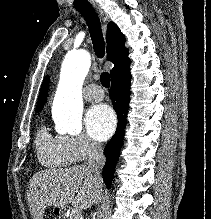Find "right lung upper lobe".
I'll return each mask as SVG.
<instances>
[{"instance_id": "obj_1", "label": "right lung upper lobe", "mask_w": 211, "mask_h": 219, "mask_svg": "<svg viewBox=\"0 0 211 219\" xmlns=\"http://www.w3.org/2000/svg\"><path fill=\"white\" fill-rule=\"evenodd\" d=\"M107 42V60L114 64L110 71L111 78L120 71L130 67V59L128 58V49L125 47V36L121 33L118 26L109 22L106 34ZM50 77L47 76L40 89L39 98L36 106V112H40L46 102Z\"/></svg>"}]
</instances>
